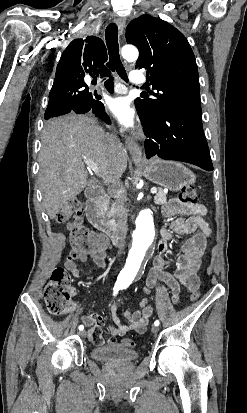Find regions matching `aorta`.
Wrapping results in <instances>:
<instances>
[{
	"instance_id": "obj_1",
	"label": "aorta",
	"mask_w": 247,
	"mask_h": 413,
	"mask_svg": "<svg viewBox=\"0 0 247 413\" xmlns=\"http://www.w3.org/2000/svg\"><path fill=\"white\" fill-rule=\"evenodd\" d=\"M122 56L128 61H136L139 52L135 46L125 45L122 48ZM136 231L134 233V245L129 254L124 270L126 278L134 276L141 265L148 246L154 237L153 215L150 209L142 210L136 219Z\"/></svg>"
}]
</instances>
